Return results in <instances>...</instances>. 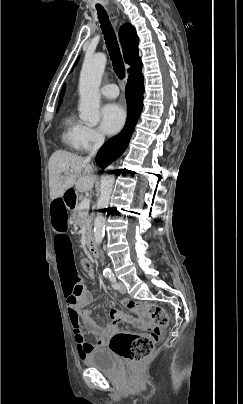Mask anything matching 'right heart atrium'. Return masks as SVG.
I'll return each instance as SVG.
<instances>
[{"instance_id":"obj_1","label":"right heart atrium","mask_w":243,"mask_h":404,"mask_svg":"<svg viewBox=\"0 0 243 404\" xmlns=\"http://www.w3.org/2000/svg\"><path fill=\"white\" fill-rule=\"evenodd\" d=\"M104 143L103 134L94 127L81 124L75 142V150L77 152H89L99 149Z\"/></svg>"}]
</instances>
